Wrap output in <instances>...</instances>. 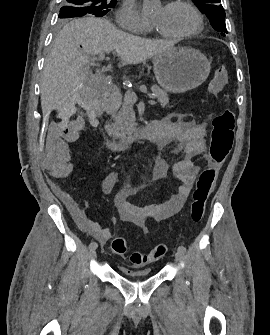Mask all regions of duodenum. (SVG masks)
Segmentation results:
<instances>
[{"instance_id":"410a0bca","label":"duodenum","mask_w":270,"mask_h":335,"mask_svg":"<svg viewBox=\"0 0 270 335\" xmlns=\"http://www.w3.org/2000/svg\"><path fill=\"white\" fill-rule=\"evenodd\" d=\"M103 95H104V110L107 114L115 113L121 103V92L113 84L105 83L103 85ZM160 136V126L159 121H149L137 128L133 133L123 137V138H110L106 137L105 145L106 147L114 152L124 151L134 144L145 140L152 139L157 140Z\"/></svg>"}]
</instances>
